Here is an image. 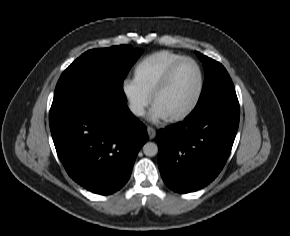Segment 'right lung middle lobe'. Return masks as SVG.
<instances>
[{
    "mask_svg": "<svg viewBox=\"0 0 290 236\" xmlns=\"http://www.w3.org/2000/svg\"><path fill=\"white\" fill-rule=\"evenodd\" d=\"M141 53L131 45L92 49L83 53L61 74L52 105L127 106L123 82Z\"/></svg>",
    "mask_w": 290,
    "mask_h": 236,
    "instance_id": "right-lung-middle-lobe-1",
    "label": "right lung middle lobe"
}]
</instances>
